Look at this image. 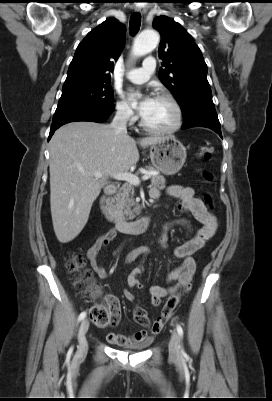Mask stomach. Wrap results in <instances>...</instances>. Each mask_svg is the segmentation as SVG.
I'll return each mask as SVG.
<instances>
[{"instance_id": "stomach-1", "label": "stomach", "mask_w": 272, "mask_h": 401, "mask_svg": "<svg viewBox=\"0 0 272 401\" xmlns=\"http://www.w3.org/2000/svg\"><path fill=\"white\" fill-rule=\"evenodd\" d=\"M186 148L174 136H164L151 145L152 165L165 175L177 173L185 163Z\"/></svg>"}]
</instances>
